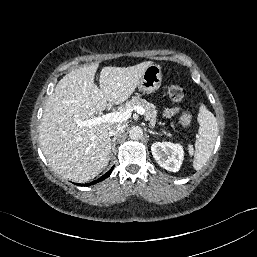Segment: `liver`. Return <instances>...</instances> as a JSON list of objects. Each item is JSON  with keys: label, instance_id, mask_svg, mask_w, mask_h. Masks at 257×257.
I'll list each match as a JSON object with an SVG mask.
<instances>
[{"label": "liver", "instance_id": "6515ba94", "mask_svg": "<svg viewBox=\"0 0 257 257\" xmlns=\"http://www.w3.org/2000/svg\"><path fill=\"white\" fill-rule=\"evenodd\" d=\"M152 64L103 67L100 88L94 82L98 63L75 69L58 82L39 126L41 149L55 172L74 182H87L103 171L112 149L109 131L116 124L104 122L89 128L77 122L105 110L107 101L120 104L127 100Z\"/></svg>", "mask_w": 257, "mask_h": 257}]
</instances>
